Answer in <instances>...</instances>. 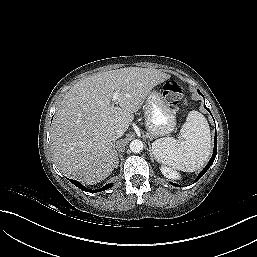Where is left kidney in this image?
Here are the masks:
<instances>
[{"label":"left kidney","mask_w":257,"mask_h":257,"mask_svg":"<svg viewBox=\"0 0 257 257\" xmlns=\"http://www.w3.org/2000/svg\"><path fill=\"white\" fill-rule=\"evenodd\" d=\"M160 170H161V172H162V174L166 177V178H169V179H177L178 177H179V175L175 172V171H173V170H171L170 168H168V167H161L160 168Z\"/></svg>","instance_id":"obj_1"}]
</instances>
